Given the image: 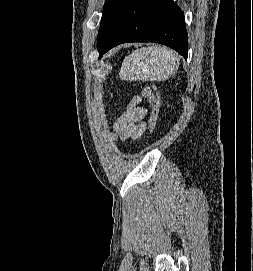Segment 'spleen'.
I'll list each match as a JSON object with an SVG mask.
<instances>
[{"mask_svg":"<svg viewBox=\"0 0 253 271\" xmlns=\"http://www.w3.org/2000/svg\"><path fill=\"white\" fill-rule=\"evenodd\" d=\"M179 67L178 55L163 46H147L125 57L119 77L125 81H165Z\"/></svg>","mask_w":253,"mask_h":271,"instance_id":"spleen-1","label":"spleen"}]
</instances>
